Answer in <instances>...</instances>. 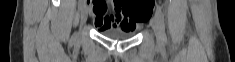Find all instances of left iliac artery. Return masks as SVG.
Listing matches in <instances>:
<instances>
[{
    "mask_svg": "<svg viewBox=\"0 0 235 62\" xmlns=\"http://www.w3.org/2000/svg\"><path fill=\"white\" fill-rule=\"evenodd\" d=\"M155 15H156L158 22H159V25H160L163 42L166 43L167 37H166V33H165L164 14H163L161 8L158 6L156 8Z\"/></svg>",
    "mask_w": 235,
    "mask_h": 62,
    "instance_id": "left-iliac-artery-1",
    "label": "left iliac artery"
}]
</instances>
